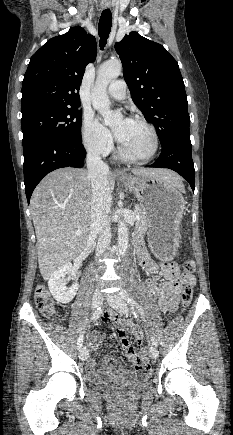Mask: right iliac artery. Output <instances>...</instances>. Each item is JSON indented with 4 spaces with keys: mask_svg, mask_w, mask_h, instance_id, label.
I'll return each mask as SVG.
<instances>
[{
    "mask_svg": "<svg viewBox=\"0 0 233 435\" xmlns=\"http://www.w3.org/2000/svg\"><path fill=\"white\" fill-rule=\"evenodd\" d=\"M102 314V309L99 307L95 310V312L92 314L91 316V320H96L100 317V315ZM83 332L80 334V337L77 341V347L78 349H81V347L83 346Z\"/></svg>",
    "mask_w": 233,
    "mask_h": 435,
    "instance_id": "obj_1",
    "label": "right iliac artery"
}]
</instances>
